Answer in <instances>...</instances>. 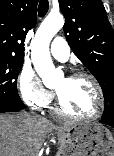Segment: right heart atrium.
Here are the masks:
<instances>
[{"instance_id": "right-heart-atrium-1", "label": "right heart atrium", "mask_w": 114, "mask_h": 156, "mask_svg": "<svg viewBox=\"0 0 114 156\" xmlns=\"http://www.w3.org/2000/svg\"><path fill=\"white\" fill-rule=\"evenodd\" d=\"M17 91L27 105L35 109L46 108L53 99V93L41 82L29 66H23L16 80Z\"/></svg>"}]
</instances>
